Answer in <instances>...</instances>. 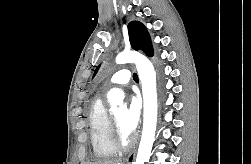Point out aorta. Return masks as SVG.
Masks as SVG:
<instances>
[{
  "mask_svg": "<svg viewBox=\"0 0 251 164\" xmlns=\"http://www.w3.org/2000/svg\"><path fill=\"white\" fill-rule=\"evenodd\" d=\"M116 63H135L142 84L144 102L143 130L136 162L133 164H144L149 161L157 125L156 73L151 61L135 51L119 53L116 56ZM123 99L124 93L120 89L113 88L108 92V101L112 106L121 103Z\"/></svg>",
  "mask_w": 251,
  "mask_h": 164,
  "instance_id": "obj_1",
  "label": "aorta"
}]
</instances>
